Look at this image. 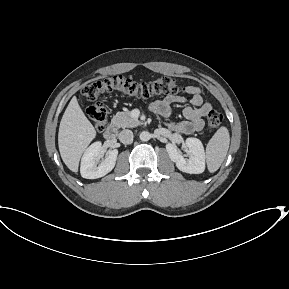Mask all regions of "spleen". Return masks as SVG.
Segmentation results:
<instances>
[{"label": "spleen", "instance_id": "3e777b00", "mask_svg": "<svg viewBox=\"0 0 289 289\" xmlns=\"http://www.w3.org/2000/svg\"><path fill=\"white\" fill-rule=\"evenodd\" d=\"M230 144V135L226 127H220L206 146V162L209 172L213 173L223 163Z\"/></svg>", "mask_w": 289, "mask_h": 289}]
</instances>
